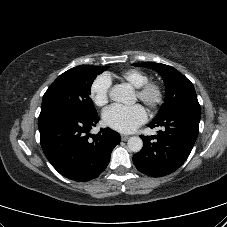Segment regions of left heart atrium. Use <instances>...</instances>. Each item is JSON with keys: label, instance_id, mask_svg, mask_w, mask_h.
Returning a JSON list of instances; mask_svg holds the SVG:
<instances>
[{"label": "left heart atrium", "instance_id": "obj_1", "mask_svg": "<svg viewBox=\"0 0 227 227\" xmlns=\"http://www.w3.org/2000/svg\"><path fill=\"white\" fill-rule=\"evenodd\" d=\"M147 120L145 109L135 104L132 106H123L114 104L103 112L104 123L121 133H131Z\"/></svg>", "mask_w": 227, "mask_h": 227}]
</instances>
